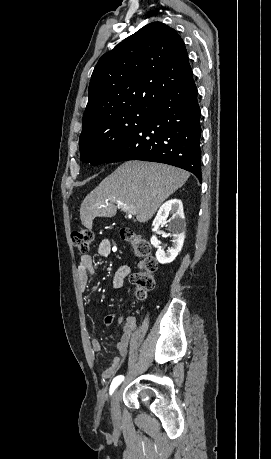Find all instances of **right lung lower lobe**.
I'll return each mask as SVG.
<instances>
[{
  "mask_svg": "<svg viewBox=\"0 0 271 459\" xmlns=\"http://www.w3.org/2000/svg\"><path fill=\"white\" fill-rule=\"evenodd\" d=\"M192 78L159 98L151 115L107 162L144 160L170 164L201 182V110Z\"/></svg>",
  "mask_w": 271,
  "mask_h": 459,
  "instance_id": "1",
  "label": "right lung lower lobe"
}]
</instances>
